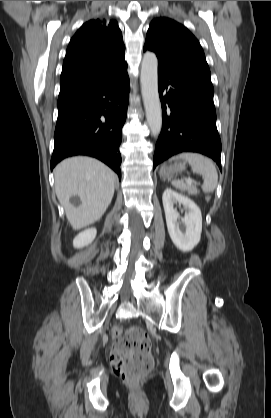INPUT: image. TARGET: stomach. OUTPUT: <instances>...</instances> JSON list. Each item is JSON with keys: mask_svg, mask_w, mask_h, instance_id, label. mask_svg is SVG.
I'll return each instance as SVG.
<instances>
[{"mask_svg": "<svg viewBox=\"0 0 271 418\" xmlns=\"http://www.w3.org/2000/svg\"><path fill=\"white\" fill-rule=\"evenodd\" d=\"M185 166L181 163L175 164V166L167 167L166 169L161 170V175L169 176L175 171L183 170Z\"/></svg>", "mask_w": 271, "mask_h": 418, "instance_id": "0dacf381", "label": "stomach"}]
</instances>
